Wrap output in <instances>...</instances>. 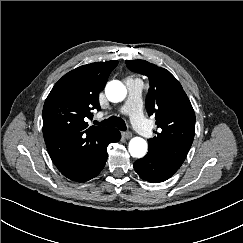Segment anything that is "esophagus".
I'll use <instances>...</instances> for the list:
<instances>
[{
    "mask_svg": "<svg viewBox=\"0 0 243 243\" xmlns=\"http://www.w3.org/2000/svg\"><path fill=\"white\" fill-rule=\"evenodd\" d=\"M122 136L126 139H129L132 137V133L131 132H122Z\"/></svg>",
    "mask_w": 243,
    "mask_h": 243,
    "instance_id": "1",
    "label": "esophagus"
}]
</instances>
